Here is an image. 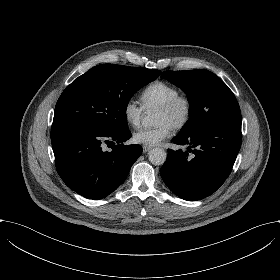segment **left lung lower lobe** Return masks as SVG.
<instances>
[{
    "mask_svg": "<svg viewBox=\"0 0 280 280\" xmlns=\"http://www.w3.org/2000/svg\"><path fill=\"white\" fill-rule=\"evenodd\" d=\"M242 141L241 119L210 124L190 134H178L172 142L189 145L169 149L160 174L169 189L178 197L195 201L214 193L229 176ZM194 147V150L191 148ZM193 153L192 159L188 152Z\"/></svg>",
    "mask_w": 280,
    "mask_h": 280,
    "instance_id": "obj_1",
    "label": "left lung lower lobe"
}]
</instances>
